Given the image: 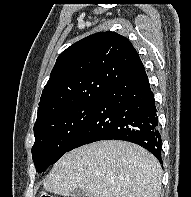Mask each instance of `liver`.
Here are the masks:
<instances>
[{"instance_id": "obj_1", "label": "liver", "mask_w": 191, "mask_h": 197, "mask_svg": "<svg viewBox=\"0 0 191 197\" xmlns=\"http://www.w3.org/2000/svg\"><path fill=\"white\" fill-rule=\"evenodd\" d=\"M162 174L158 160L141 146L103 140L64 154L43 187L62 196L81 189L91 197H158Z\"/></svg>"}]
</instances>
